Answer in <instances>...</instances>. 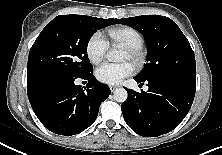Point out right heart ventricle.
Here are the masks:
<instances>
[{
    "label": "right heart ventricle",
    "mask_w": 222,
    "mask_h": 155,
    "mask_svg": "<svg viewBox=\"0 0 222 155\" xmlns=\"http://www.w3.org/2000/svg\"><path fill=\"white\" fill-rule=\"evenodd\" d=\"M110 39L124 48H142L144 39L141 33L130 26H120L108 30Z\"/></svg>",
    "instance_id": "1"
}]
</instances>
